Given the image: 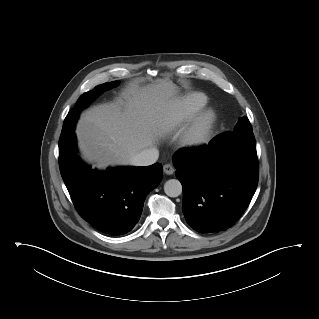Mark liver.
Wrapping results in <instances>:
<instances>
[{
	"label": "liver",
	"mask_w": 319,
	"mask_h": 319,
	"mask_svg": "<svg viewBox=\"0 0 319 319\" xmlns=\"http://www.w3.org/2000/svg\"><path fill=\"white\" fill-rule=\"evenodd\" d=\"M177 87L171 81L140 88L131 84L114 102L85 111L76 135L83 158L99 169L128 165L131 158L173 128Z\"/></svg>",
	"instance_id": "liver-1"
}]
</instances>
